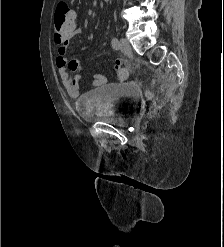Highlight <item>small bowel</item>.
Here are the masks:
<instances>
[{"label":"small bowel","mask_w":224,"mask_h":247,"mask_svg":"<svg viewBox=\"0 0 224 247\" xmlns=\"http://www.w3.org/2000/svg\"><path fill=\"white\" fill-rule=\"evenodd\" d=\"M82 32V27L74 26V35L80 34ZM69 41L70 38L59 36L54 33L53 44L57 48V56L55 59L56 67L58 68L61 83L65 88L68 96L70 98H77L80 95V81L83 77L82 74H77L72 76L68 72V67L70 63L69 59ZM121 67L120 64H117ZM92 85L93 87H99L107 83V78L102 74H92Z\"/></svg>","instance_id":"small-bowel-1"}]
</instances>
